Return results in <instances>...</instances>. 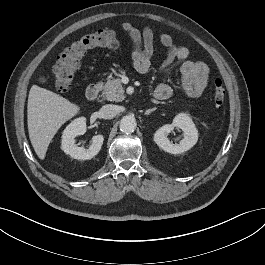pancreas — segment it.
<instances>
[{
  "label": "pancreas",
  "mask_w": 265,
  "mask_h": 265,
  "mask_svg": "<svg viewBox=\"0 0 265 265\" xmlns=\"http://www.w3.org/2000/svg\"><path fill=\"white\" fill-rule=\"evenodd\" d=\"M102 88V97L108 101L121 102L125 99L124 88L119 78L108 80Z\"/></svg>",
  "instance_id": "1"
}]
</instances>
